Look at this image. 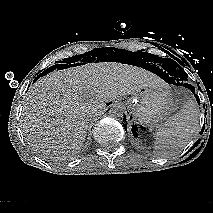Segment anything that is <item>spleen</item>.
<instances>
[{"label": "spleen", "instance_id": "spleen-1", "mask_svg": "<svg viewBox=\"0 0 213 213\" xmlns=\"http://www.w3.org/2000/svg\"><path fill=\"white\" fill-rule=\"evenodd\" d=\"M197 129L198 106L194 99H190L156 131L154 148L165 153L180 150Z\"/></svg>", "mask_w": 213, "mask_h": 213}]
</instances>
